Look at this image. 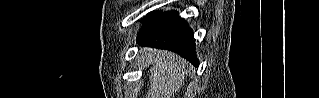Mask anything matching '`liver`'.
I'll list each match as a JSON object with an SVG mask.
<instances>
[{"mask_svg": "<svg viewBox=\"0 0 319 98\" xmlns=\"http://www.w3.org/2000/svg\"><path fill=\"white\" fill-rule=\"evenodd\" d=\"M149 59L153 66L149 71L148 98H172L184 85L187 62L165 50H151Z\"/></svg>", "mask_w": 319, "mask_h": 98, "instance_id": "6515ba94", "label": "liver"}]
</instances>
